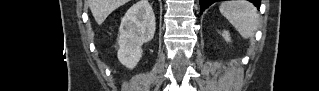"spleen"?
I'll return each mask as SVG.
<instances>
[{
  "label": "spleen",
  "mask_w": 319,
  "mask_h": 91,
  "mask_svg": "<svg viewBox=\"0 0 319 91\" xmlns=\"http://www.w3.org/2000/svg\"><path fill=\"white\" fill-rule=\"evenodd\" d=\"M219 10L243 38L254 37L259 15L253 4L244 0H230L223 2Z\"/></svg>",
  "instance_id": "1"
}]
</instances>
